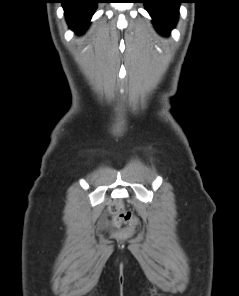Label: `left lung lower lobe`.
<instances>
[{"mask_svg": "<svg viewBox=\"0 0 239 296\" xmlns=\"http://www.w3.org/2000/svg\"><path fill=\"white\" fill-rule=\"evenodd\" d=\"M160 34L169 35L175 27L182 0H142Z\"/></svg>", "mask_w": 239, "mask_h": 296, "instance_id": "1", "label": "left lung lower lobe"}]
</instances>
